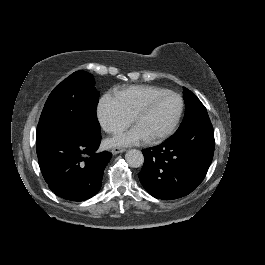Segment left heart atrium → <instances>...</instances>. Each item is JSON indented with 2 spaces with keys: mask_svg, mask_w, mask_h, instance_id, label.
Returning a JSON list of instances; mask_svg holds the SVG:
<instances>
[{
  "mask_svg": "<svg viewBox=\"0 0 265 265\" xmlns=\"http://www.w3.org/2000/svg\"><path fill=\"white\" fill-rule=\"evenodd\" d=\"M148 138L149 137L141 127L135 126L129 131L118 133L110 139L109 142L114 146L135 145L147 140Z\"/></svg>",
  "mask_w": 265,
  "mask_h": 265,
  "instance_id": "left-heart-atrium-1",
  "label": "left heart atrium"
}]
</instances>
